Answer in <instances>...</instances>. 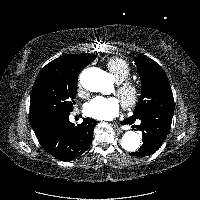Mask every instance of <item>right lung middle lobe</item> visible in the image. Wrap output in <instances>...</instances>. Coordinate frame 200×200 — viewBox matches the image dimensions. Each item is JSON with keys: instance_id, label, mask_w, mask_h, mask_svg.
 Returning a JSON list of instances; mask_svg holds the SVG:
<instances>
[{"instance_id": "dd1d6c3e", "label": "right lung middle lobe", "mask_w": 200, "mask_h": 200, "mask_svg": "<svg viewBox=\"0 0 200 200\" xmlns=\"http://www.w3.org/2000/svg\"><path fill=\"white\" fill-rule=\"evenodd\" d=\"M77 79L44 82L33 86L30 115L49 113L57 110L72 111L76 97Z\"/></svg>"}]
</instances>
